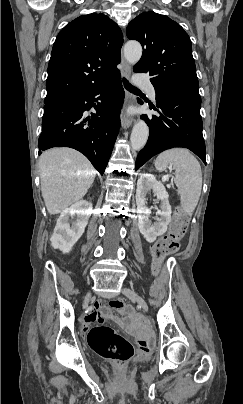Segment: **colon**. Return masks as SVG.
I'll use <instances>...</instances> for the list:
<instances>
[{
    "label": "colon",
    "mask_w": 243,
    "mask_h": 404,
    "mask_svg": "<svg viewBox=\"0 0 243 404\" xmlns=\"http://www.w3.org/2000/svg\"><path fill=\"white\" fill-rule=\"evenodd\" d=\"M189 214L182 208L176 210L173 216L169 232L161 237L153 246V267L157 270L167 256L175 253L183 238ZM110 306L126 314H133V309L120 299L110 301ZM88 341L91 347L102 357L123 364L134 355L132 344L123 336L114 331L111 327L100 325L93 327L88 332ZM153 347L152 340H140L138 352L141 355H148Z\"/></svg>",
    "instance_id": "colon-1"
}]
</instances>
